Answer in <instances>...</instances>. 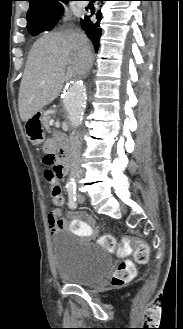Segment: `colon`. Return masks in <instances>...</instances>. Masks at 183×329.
<instances>
[{
	"label": "colon",
	"mask_w": 183,
	"mask_h": 329,
	"mask_svg": "<svg viewBox=\"0 0 183 329\" xmlns=\"http://www.w3.org/2000/svg\"><path fill=\"white\" fill-rule=\"evenodd\" d=\"M42 171L44 179L50 184V193L54 198L56 204L62 203V188L60 180L63 175V168L57 162L53 154H46L42 159ZM100 245L113 250L116 247V242L111 236H102L99 239ZM122 252L127 253L132 251L134 260L137 263H146L149 259V248L145 243H125L121 249ZM135 274V267L132 262L124 260L120 262L117 269L112 275L111 283L114 286H122L130 281Z\"/></svg>",
	"instance_id": "obj_1"
}]
</instances>
